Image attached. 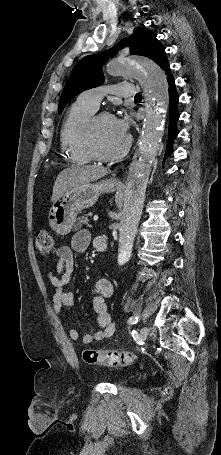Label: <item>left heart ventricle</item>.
I'll return each instance as SVG.
<instances>
[{
  "label": "left heart ventricle",
  "instance_id": "left-heart-ventricle-1",
  "mask_svg": "<svg viewBox=\"0 0 221 455\" xmlns=\"http://www.w3.org/2000/svg\"><path fill=\"white\" fill-rule=\"evenodd\" d=\"M126 137L118 128L116 118L103 117L95 128L94 146L101 154H111L122 148Z\"/></svg>",
  "mask_w": 221,
  "mask_h": 455
}]
</instances>
